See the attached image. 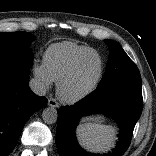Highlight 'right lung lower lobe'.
I'll return each instance as SVG.
<instances>
[{
  "instance_id": "right-lung-lower-lobe-1",
  "label": "right lung lower lobe",
  "mask_w": 156,
  "mask_h": 156,
  "mask_svg": "<svg viewBox=\"0 0 156 156\" xmlns=\"http://www.w3.org/2000/svg\"><path fill=\"white\" fill-rule=\"evenodd\" d=\"M30 68L0 62V156L16 145L29 117L47 104L29 88Z\"/></svg>"
}]
</instances>
